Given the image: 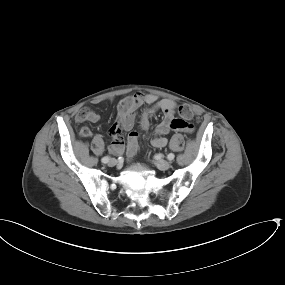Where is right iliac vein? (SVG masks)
I'll use <instances>...</instances> for the list:
<instances>
[{"mask_svg":"<svg viewBox=\"0 0 285 285\" xmlns=\"http://www.w3.org/2000/svg\"><path fill=\"white\" fill-rule=\"evenodd\" d=\"M118 164V161L115 158H111L108 162V165L113 167Z\"/></svg>","mask_w":285,"mask_h":285,"instance_id":"obj_1","label":"right iliac vein"}]
</instances>
